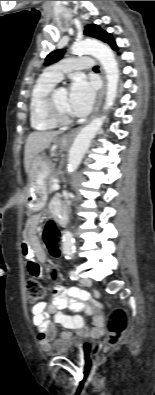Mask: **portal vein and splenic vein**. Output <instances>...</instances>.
I'll use <instances>...</instances> for the list:
<instances>
[{
	"instance_id": "obj_1",
	"label": "portal vein and splenic vein",
	"mask_w": 155,
	"mask_h": 395,
	"mask_svg": "<svg viewBox=\"0 0 155 395\" xmlns=\"http://www.w3.org/2000/svg\"><path fill=\"white\" fill-rule=\"evenodd\" d=\"M52 188H53V190H58V189H60V185L58 184V182H55V183L52 185Z\"/></svg>"
}]
</instances>
